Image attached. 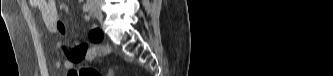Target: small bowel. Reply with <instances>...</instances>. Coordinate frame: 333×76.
<instances>
[{
	"label": "small bowel",
	"mask_w": 333,
	"mask_h": 76,
	"mask_svg": "<svg viewBox=\"0 0 333 76\" xmlns=\"http://www.w3.org/2000/svg\"><path fill=\"white\" fill-rule=\"evenodd\" d=\"M33 4L41 13L47 28L55 34L64 35L66 28L59 19L55 1L34 0ZM89 18V15H84L86 21ZM104 41L105 36L101 35L95 26H92L88 42L73 39L61 47L60 50L65 60H57L55 67L57 69H67L65 76H81L78 63L91 61L96 56L106 53L107 48L100 44Z\"/></svg>",
	"instance_id": "1"
}]
</instances>
